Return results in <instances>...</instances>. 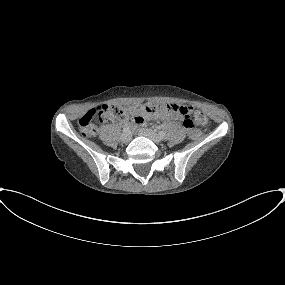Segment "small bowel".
<instances>
[{
    "instance_id": "obj_1",
    "label": "small bowel",
    "mask_w": 285,
    "mask_h": 285,
    "mask_svg": "<svg viewBox=\"0 0 285 285\" xmlns=\"http://www.w3.org/2000/svg\"><path fill=\"white\" fill-rule=\"evenodd\" d=\"M180 107L179 104H162V108L155 114L146 115L144 117H138L134 120V123L143 127L146 123V120L150 117H154L158 120H177L184 123L185 117L182 111L176 109Z\"/></svg>"
}]
</instances>
